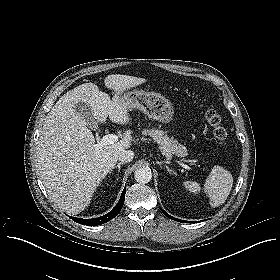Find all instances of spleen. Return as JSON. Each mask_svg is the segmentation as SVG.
Segmentation results:
<instances>
[{
	"instance_id": "3e777b00",
	"label": "spleen",
	"mask_w": 280,
	"mask_h": 280,
	"mask_svg": "<svg viewBox=\"0 0 280 280\" xmlns=\"http://www.w3.org/2000/svg\"><path fill=\"white\" fill-rule=\"evenodd\" d=\"M184 187L190 192L200 191V184L194 181H185ZM233 185L232 174L222 166H214L204 184V191L210 199V204L217 207L225 202Z\"/></svg>"
}]
</instances>
